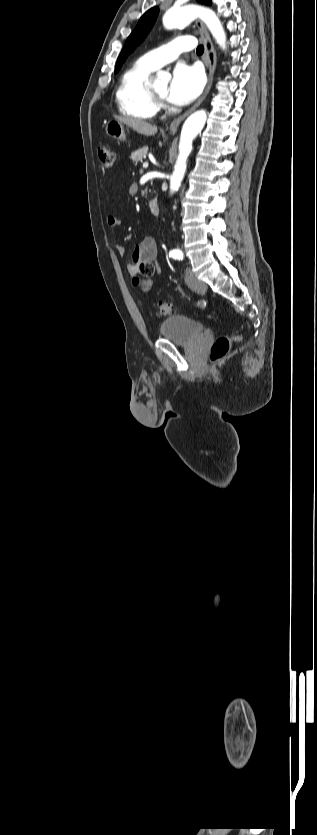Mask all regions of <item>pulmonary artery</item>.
<instances>
[{
    "label": "pulmonary artery",
    "instance_id": "pulmonary-artery-1",
    "mask_svg": "<svg viewBox=\"0 0 317 835\" xmlns=\"http://www.w3.org/2000/svg\"><path fill=\"white\" fill-rule=\"evenodd\" d=\"M195 45L196 41L194 37L179 36L172 41L147 52L141 59L152 68L157 69L176 59L182 52L194 49Z\"/></svg>",
    "mask_w": 317,
    "mask_h": 835
}]
</instances>
